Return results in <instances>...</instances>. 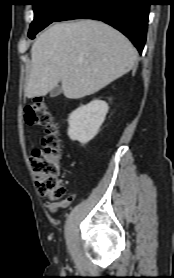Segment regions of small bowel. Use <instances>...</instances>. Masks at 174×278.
I'll return each instance as SVG.
<instances>
[{"instance_id": "obj_1", "label": "small bowel", "mask_w": 174, "mask_h": 278, "mask_svg": "<svg viewBox=\"0 0 174 278\" xmlns=\"http://www.w3.org/2000/svg\"><path fill=\"white\" fill-rule=\"evenodd\" d=\"M69 204V201H66V202H59V203H48L47 204V207L51 210V211H56L58 210L59 208L61 207H64L66 205Z\"/></svg>"}]
</instances>
